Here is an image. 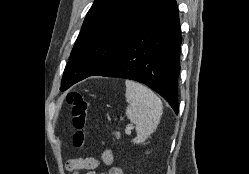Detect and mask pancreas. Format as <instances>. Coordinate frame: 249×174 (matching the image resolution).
I'll use <instances>...</instances> for the list:
<instances>
[{
    "mask_svg": "<svg viewBox=\"0 0 249 174\" xmlns=\"http://www.w3.org/2000/svg\"><path fill=\"white\" fill-rule=\"evenodd\" d=\"M114 135L116 136V138H120V133L119 132H115Z\"/></svg>",
    "mask_w": 249,
    "mask_h": 174,
    "instance_id": "pancreas-1",
    "label": "pancreas"
}]
</instances>
